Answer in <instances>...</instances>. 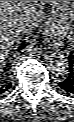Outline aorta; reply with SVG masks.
<instances>
[{"label": "aorta", "instance_id": "aorta-1", "mask_svg": "<svg viewBox=\"0 0 74 122\" xmlns=\"http://www.w3.org/2000/svg\"><path fill=\"white\" fill-rule=\"evenodd\" d=\"M47 69L54 75H65L69 71L67 57L62 53H50L45 58Z\"/></svg>", "mask_w": 74, "mask_h": 122}]
</instances>
